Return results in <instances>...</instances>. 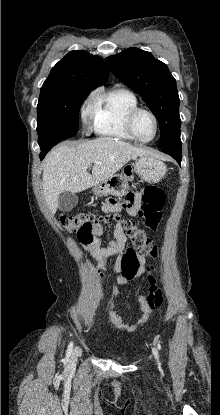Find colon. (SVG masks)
Wrapping results in <instances>:
<instances>
[{"instance_id":"5ec220e1","label":"colon","mask_w":220,"mask_h":415,"mask_svg":"<svg viewBox=\"0 0 220 415\" xmlns=\"http://www.w3.org/2000/svg\"><path fill=\"white\" fill-rule=\"evenodd\" d=\"M164 194L159 187L148 186L143 194L141 213L144 225L149 230H156L161 220V209L164 204ZM124 205H127L125 203ZM121 221L127 235L130 238L132 247L127 249L122 256L121 266L126 279H132L138 269L141 258H156L158 248L146 235V232L131 220L121 219L115 214H100L98 212H79L72 215H60L58 222L60 227L68 232H83L88 238L91 237L93 228L103 221ZM148 303L158 308L162 303V296L152 278L149 280Z\"/></svg>"}]
</instances>
